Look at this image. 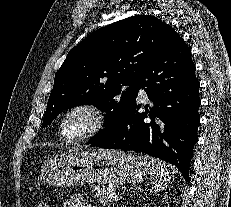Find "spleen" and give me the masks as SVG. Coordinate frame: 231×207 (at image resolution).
Wrapping results in <instances>:
<instances>
[{
	"label": "spleen",
	"instance_id": "spleen-1",
	"mask_svg": "<svg viewBox=\"0 0 231 207\" xmlns=\"http://www.w3.org/2000/svg\"><path fill=\"white\" fill-rule=\"evenodd\" d=\"M143 159L149 166L155 192L165 189L175 180L177 174L175 166L147 155Z\"/></svg>",
	"mask_w": 231,
	"mask_h": 207
}]
</instances>
